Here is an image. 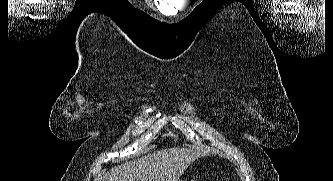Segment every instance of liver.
Instances as JSON below:
<instances>
[{
  "label": "liver",
  "instance_id": "6515ba94",
  "mask_svg": "<svg viewBox=\"0 0 333 181\" xmlns=\"http://www.w3.org/2000/svg\"><path fill=\"white\" fill-rule=\"evenodd\" d=\"M202 155L191 148L158 150L117 165L101 181H180L188 166Z\"/></svg>",
  "mask_w": 333,
  "mask_h": 181
}]
</instances>
